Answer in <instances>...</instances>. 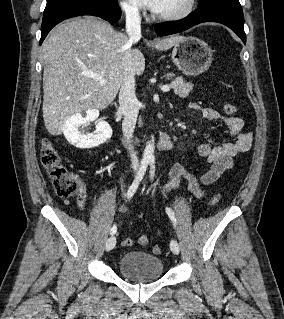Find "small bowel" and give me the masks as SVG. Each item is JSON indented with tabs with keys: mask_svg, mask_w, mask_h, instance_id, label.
Masks as SVG:
<instances>
[{
	"mask_svg": "<svg viewBox=\"0 0 284 319\" xmlns=\"http://www.w3.org/2000/svg\"><path fill=\"white\" fill-rule=\"evenodd\" d=\"M189 107L200 111L207 120L222 121L226 125L229 134L234 138L232 142L228 143L218 145L203 143L198 146V154L204 157L209 164V168L199 175L193 174L180 163L171 168V182L163 189L162 193L169 194L177 187L179 180L185 178L188 181L189 192L195 198H201L205 195V191L201 189V186L215 183L222 174L232 168L235 157L250 149L252 134L243 130L244 122L239 117H224L215 109L201 108L195 103L190 104ZM86 198V189L82 186L77 196V205L80 210H84ZM120 211H126L124 204L120 205Z\"/></svg>",
	"mask_w": 284,
	"mask_h": 319,
	"instance_id": "obj_1",
	"label": "small bowel"
}]
</instances>
